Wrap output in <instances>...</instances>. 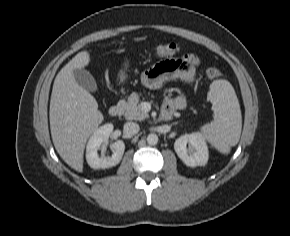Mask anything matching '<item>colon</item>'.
<instances>
[{"mask_svg": "<svg viewBox=\"0 0 290 236\" xmlns=\"http://www.w3.org/2000/svg\"><path fill=\"white\" fill-rule=\"evenodd\" d=\"M153 52L158 57L170 58L179 52V45L175 42L163 43L155 46ZM206 75L210 79H215L221 76V71L216 67H209L206 70Z\"/></svg>", "mask_w": 290, "mask_h": 236, "instance_id": "5ec220e1", "label": "colon"}]
</instances>
